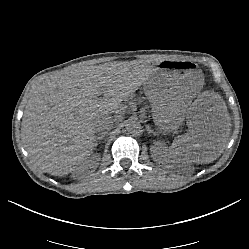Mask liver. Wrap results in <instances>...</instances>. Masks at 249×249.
<instances>
[{
	"label": "liver",
	"mask_w": 249,
	"mask_h": 249,
	"mask_svg": "<svg viewBox=\"0 0 249 249\" xmlns=\"http://www.w3.org/2000/svg\"><path fill=\"white\" fill-rule=\"evenodd\" d=\"M148 67H70L41 82L26 104L21 140L31 163L44 173L64 176L87 162L96 148V120L114 114L122 101L147 83ZM103 94L104 96H100ZM152 122L161 132L188 131L173 139V159L209 163L224 151L231 123L223 98L199 95L191 104L172 105L162 95L148 99Z\"/></svg>",
	"instance_id": "obj_1"
}]
</instances>
